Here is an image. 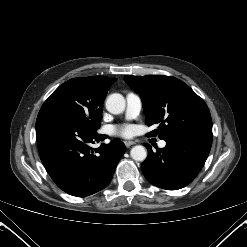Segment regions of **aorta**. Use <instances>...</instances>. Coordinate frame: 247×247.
I'll use <instances>...</instances> for the list:
<instances>
[{"label":"aorta","instance_id":"762f6f07","mask_svg":"<svg viewBox=\"0 0 247 247\" xmlns=\"http://www.w3.org/2000/svg\"><path fill=\"white\" fill-rule=\"evenodd\" d=\"M126 101L119 93H113L108 96L106 100V109L112 114H120L125 110ZM130 155L135 161H144L147 157V151L144 146L136 145L131 151Z\"/></svg>","mask_w":247,"mask_h":247}]
</instances>
